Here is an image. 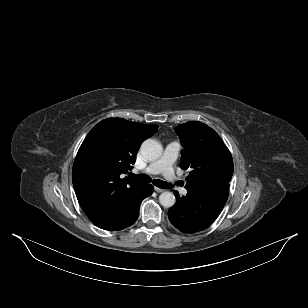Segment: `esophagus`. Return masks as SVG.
<instances>
[{"label":"esophagus","instance_id":"obj_1","mask_svg":"<svg viewBox=\"0 0 308 308\" xmlns=\"http://www.w3.org/2000/svg\"><path fill=\"white\" fill-rule=\"evenodd\" d=\"M154 189H155V191L158 192V193H161V192H164V191H165L164 189L159 188V187H155Z\"/></svg>","mask_w":308,"mask_h":308}]
</instances>
